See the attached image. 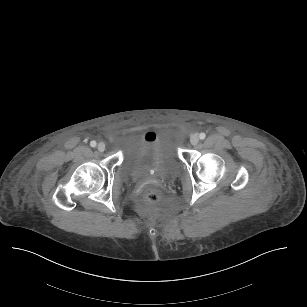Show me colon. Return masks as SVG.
Masks as SVG:
<instances>
[{
  "label": "colon",
  "mask_w": 307,
  "mask_h": 307,
  "mask_svg": "<svg viewBox=\"0 0 307 307\" xmlns=\"http://www.w3.org/2000/svg\"><path fill=\"white\" fill-rule=\"evenodd\" d=\"M144 139L146 141H155L157 139V134L154 131H148L144 134ZM162 198V191L160 188L155 186H148L145 188L142 194V201L146 205H153L160 201Z\"/></svg>",
  "instance_id": "5ec220e1"
}]
</instances>
